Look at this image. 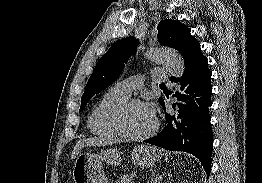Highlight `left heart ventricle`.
Masks as SVG:
<instances>
[{"instance_id":"b2bd125f","label":"left heart ventricle","mask_w":262,"mask_h":183,"mask_svg":"<svg viewBox=\"0 0 262 183\" xmlns=\"http://www.w3.org/2000/svg\"><path fill=\"white\" fill-rule=\"evenodd\" d=\"M154 123L155 119L149 114L144 104L131 106L124 116L125 129L135 135L147 133Z\"/></svg>"}]
</instances>
